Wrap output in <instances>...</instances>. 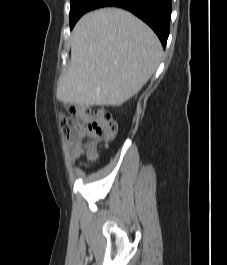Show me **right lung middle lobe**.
<instances>
[{"instance_id": "right-lung-middle-lobe-1", "label": "right lung middle lobe", "mask_w": 227, "mask_h": 265, "mask_svg": "<svg viewBox=\"0 0 227 265\" xmlns=\"http://www.w3.org/2000/svg\"><path fill=\"white\" fill-rule=\"evenodd\" d=\"M97 0H71L70 1V28L72 29L77 20L87 11L92 10Z\"/></svg>"}]
</instances>
